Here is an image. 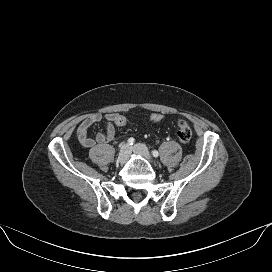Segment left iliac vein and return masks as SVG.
Listing matches in <instances>:
<instances>
[{"label": "left iliac vein", "instance_id": "4c4485c4", "mask_svg": "<svg viewBox=\"0 0 272 272\" xmlns=\"http://www.w3.org/2000/svg\"><path fill=\"white\" fill-rule=\"evenodd\" d=\"M133 152L143 156L145 159H147L150 163L153 162L152 157L147 149V147L144 144L137 143L133 147Z\"/></svg>", "mask_w": 272, "mask_h": 272}]
</instances>
